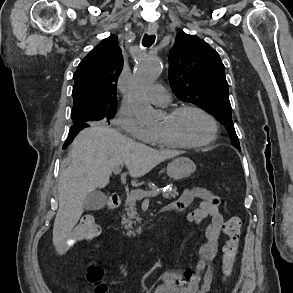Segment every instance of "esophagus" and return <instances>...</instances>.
<instances>
[{"label":"esophagus","instance_id":"34e87169","mask_svg":"<svg viewBox=\"0 0 293 293\" xmlns=\"http://www.w3.org/2000/svg\"><path fill=\"white\" fill-rule=\"evenodd\" d=\"M158 26L156 24L148 25L147 32L148 34H155L157 32Z\"/></svg>","mask_w":293,"mask_h":293}]
</instances>
